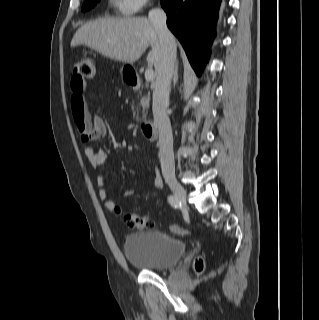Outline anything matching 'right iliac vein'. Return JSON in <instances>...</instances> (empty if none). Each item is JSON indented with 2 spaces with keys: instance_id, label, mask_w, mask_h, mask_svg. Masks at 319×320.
I'll return each mask as SVG.
<instances>
[{
  "instance_id": "63e3f726",
  "label": "right iliac vein",
  "mask_w": 319,
  "mask_h": 320,
  "mask_svg": "<svg viewBox=\"0 0 319 320\" xmlns=\"http://www.w3.org/2000/svg\"><path fill=\"white\" fill-rule=\"evenodd\" d=\"M167 183L174 195L182 202H186V191L184 187L174 178H168Z\"/></svg>"
}]
</instances>
